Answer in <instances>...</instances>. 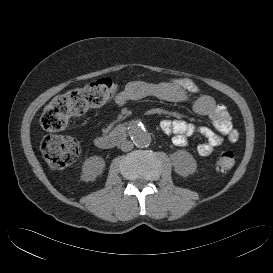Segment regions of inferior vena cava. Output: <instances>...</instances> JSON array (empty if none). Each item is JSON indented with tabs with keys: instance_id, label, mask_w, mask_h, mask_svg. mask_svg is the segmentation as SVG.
<instances>
[{
	"instance_id": "1",
	"label": "inferior vena cava",
	"mask_w": 273,
	"mask_h": 273,
	"mask_svg": "<svg viewBox=\"0 0 273 273\" xmlns=\"http://www.w3.org/2000/svg\"><path fill=\"white\" fill-rule=\"evenodd\" d=\"M134 147L133 142L125 140L120 144V148L123 152H128L130 150H132Z\"/></svg>"
}]
</instances>
